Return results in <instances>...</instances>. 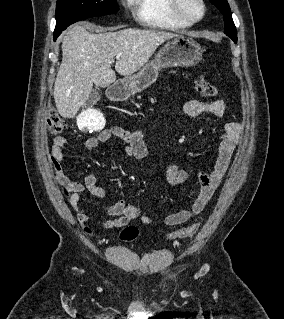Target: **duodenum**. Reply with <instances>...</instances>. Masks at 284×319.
I'll use <instances>...</instances> for the list:
<instances>
[{"label":"duodenum","instance_id":"duodenum-1","mask_svg":"<svg viewBox=\"0 0 284 319\" xmlns=\"http://www.w3.org/2000/svg\"><path fill=\"white\" fill-rule=\"evenodd\" d=\"M109 95L113 101H121L128 97L129 92L124 86H114L110 89Z\"/></svg>","mask_w":284,"mask_h":319}]
</instances>
